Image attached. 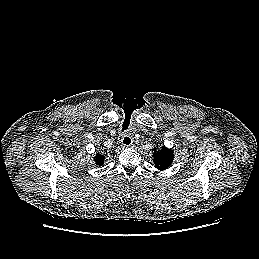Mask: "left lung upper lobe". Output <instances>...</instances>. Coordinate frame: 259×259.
<instances>
[{
    "label": "left lung upper lobe",
    "mask_w": 259,
    "mask_h": 259,
    "mask_svg": "<svg viewBox=\"0 0 259 259\" xmlns=\"http://www.w3.org/2000/svg\"><path fill=\"white\" fill-rule=\"evenodd\" d=\"M154 163L158 169H166L168 168L174 159L173 150L162 146V148L158 149V147L154 148Z\"/></svg>",
    "instance_id": "5c2ea615"
}]
</instances>
